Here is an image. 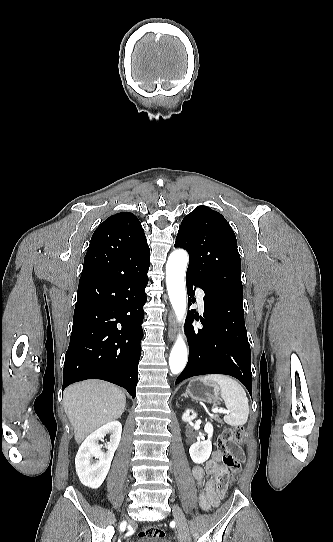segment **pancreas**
Wrapping results in <instances>:
<instances>
[{
	"label": "pancreas",
	"mask_w": 333,
	"mask_h": 542,
	"mask_svg": "<svg viewBox=\"0 0 333 542\" xmlns=\"http://www.w3.org/2000/svg\"><path fill=\"white\" fill-rule=\"evenodd\" d=\"M212 420H215V422H219V424H222V420H220L218 414H213V416H211Z\"/></svg>",
	"instance_id": "pancreas-1"
}]
</instances>
